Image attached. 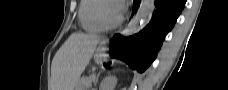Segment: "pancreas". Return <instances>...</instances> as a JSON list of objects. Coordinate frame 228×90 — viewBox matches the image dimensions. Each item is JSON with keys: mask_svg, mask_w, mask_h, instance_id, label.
<instances>
[{"mask_svg": "<svg viewBox=\"0 0 228 90\" xmlns=\"http://www.w3.org/2000/svg\"><path fill=\"white\" fill-rule=\"evenodd\" d=\"M92 80H94L93 76L81 78L76 84V90H89Z\"/></svg>", "mask_w": 228, "mask_h": 90, "instance_id": "1", "label": "pancreas"}]
</instances>
